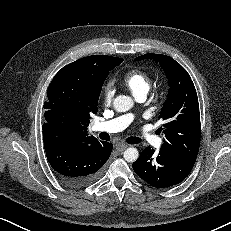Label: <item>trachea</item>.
<instances>
[{"label": "trachea", "instance_id": "1", "mask_svg": "<svg viewBox=\"0 0 231 231\" xmlns=\"http://www.w3.org/2000/svg\"><path fill=\"white\" fill-rule=\"evenodd\" d=\"M100 138H101L102 140L110 141V136H109V134H107V133H105V132L100 133ZM141 141H142V140H141L140 138H138V137H128V138L126 139V142H127L128 144H138V143H140Z\"/></svg>", "mask_w": 231, "mask_h": 231}]
</instances>
